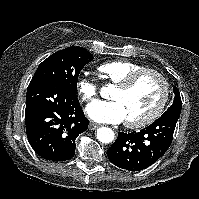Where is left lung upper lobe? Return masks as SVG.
<instances>
[{
	"mask_svg": "<svg viewBox=\"0 0 199 199\" xmlns=\"http://www.w3.org/2000/svg\"><path fill=\"white\" fill-rule=\"evenodd\" d=\"M173 91L175 94L173 104L171 107L167 109V111L162 116H166V115H173L176 117L180 116L181 108H182V101H181L180 93L176 87L173 88Z\"/></svg>",
	"mask_w": 199,
	"mask_h": 199,
	"instance_id": "5c2ea615",
	"label": "left lung upper lobe"
}]
</instances>
